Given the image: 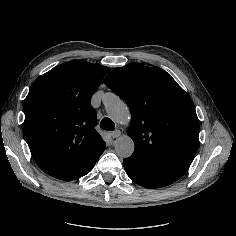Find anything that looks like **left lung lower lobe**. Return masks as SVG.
Listing matches in <instances>:
<instances>
[{"instance_id": "obj_1", "label": "left lung lower lobe", "mask_w": 236, "mask_h": 236, "mask_svg": "<svg viewBox=\"0 0 236 236\" xmlns=\"http://www.w3.org/2000/svg\"><path fill=\"white\" fill-rule=\"evenodd\" d=\"M123 165L128 176L146 188L164 187L176 181L133 157L125 158Z\"/></svg>"}]
</instances>
